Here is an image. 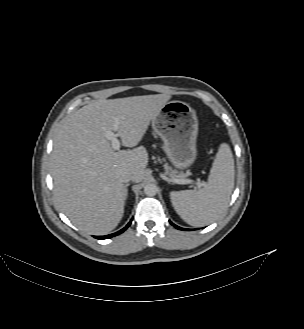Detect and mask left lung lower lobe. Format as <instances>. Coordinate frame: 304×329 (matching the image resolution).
<instances>
[{"mask_svg": "<svg viewBox=\"0 0 304 329\" xmlns=\"http://www.w3.org/2000/svg\"><path fill=\"white\" fill-rule=\"evenodd\" d=\"M174 227H176L177 229H179V230H188V229H184V228H181V227H178V226H176L175 224H173L172 222H170Z\"/></svg>", "mask_w": 304, "mask_h": 329, "instance_id": "1", "label": "left lung lower lobe"}]
</instances>
